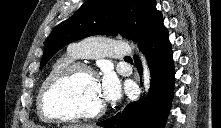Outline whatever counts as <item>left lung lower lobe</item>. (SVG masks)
Listing matches in <instances>:
<instances>
[{
  "label": "left lung lower lobe",
  "instance_id": "0a47b994",
  "mask_svg": "<svg viewBox=\"0 0 221 128\" xmlns=\"http://www.w3.org/2000/svg\"><path fill=\"white\" fill-rule=\"evenodd\" d=\"M139 46L148 59L152 76L147 98L129 103L121 113L97 125L110 128H164L173 98L174 66L163 18ZM134 59L136 67L140 69L138 58L135 56Z\"/></svg>",
  "mask_w": 221,
  "mask_h": 128
}]
</instances>
